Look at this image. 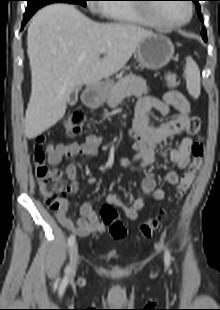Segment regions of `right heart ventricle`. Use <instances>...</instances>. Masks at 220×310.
Instances as JSON below:
<instances>
[{
  "label": "right heart ventricle",
  "mask_w": 220,
  "mask_h": 310,
  "mask_svg": "<svg viewBox=\"0 0 220 310\" xmlns=\"http://www.w3.org/2000/svg\"><path fill=\"white\" fill-rule=\"evenodd\" d=\"M101 12L108 18L117 22L157 26V24L150 16L143 14L138 8L129 5L106 4L101 7Z\"/></svg>",
  "instance_id": "obj_1"
}]
</instances>
